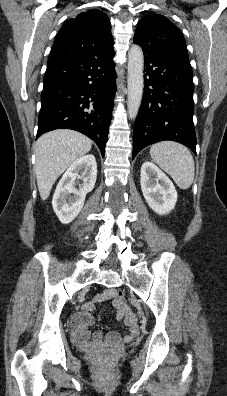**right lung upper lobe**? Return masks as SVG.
<instances>
[{
	"mask_svg": "<svg viewBox=\"0 0 227 396\" xmlns=\"http://www.w3.org/2000/svg\"><path fill=\"white\" fill-rule=\"evenodd\" d=\"M110 21L100 10H89L67 19L52 46L48 64L88 55L113 46Z\"/></svg>",
	"mask_w": 227,
	"mask_h": 396,
	"instance_id": "right-lung-upper-lobe-1",
	"label": "right lung upper lobe"
}]
</instances>
